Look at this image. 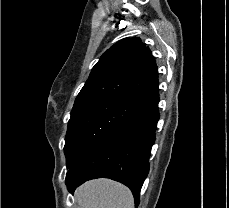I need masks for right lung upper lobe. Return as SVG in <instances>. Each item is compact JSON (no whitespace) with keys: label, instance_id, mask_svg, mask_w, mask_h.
I'll use <instances>...</instances> for the list:
<instances>
[{"label":"right lung upper lobe","instance_id":"right-lung-upper-lobe-1","mask_svg":"<svg viewBox=\"0 0 229 208\" xmlns=\"http://www.w3.org/2000/svg\"><path fill=\"white\" fill-rule=\"evenodd\" d=\"M158 68L140 38H125L111 46L93 67L74 106L119 96L150 105L159 98Z\"/></svg>","mask_w":229,"mask_h":208}]
</instances>
